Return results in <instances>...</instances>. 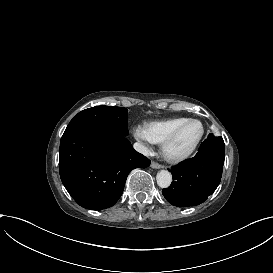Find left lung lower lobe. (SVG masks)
<instances>
[{
  "label": "left lung lower lobe",
  "instance_id": "1",
  "mask_svg": "<svg viewBox=\"0 0 273 273\" xmlns=\"http://www.w3.org/2000/svg\"><path fill=\"white\" fill-rule=\"evenodd\" d=\"M225 157L221 136L209 134L195 157L171 168L173 181L162 190L166 200L177 207L203 203L220 183Z\"/></svg>",
  "mask_w": 273,
  "mask_h": 273
}]
</instances>
